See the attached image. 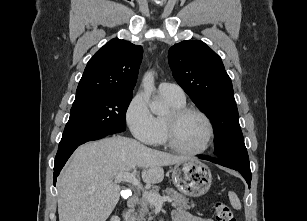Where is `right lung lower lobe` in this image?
I'll use <instances>...</instances> for the list:
<instances>
[{"label": "right lung lower lobe", "instance_id": "1", "mask_svg": "<svg viewBox=\"0 0 307 221\" xmlns=\"http://www.w3.org/2000/svg\"><path fill=\"white\" fill-rule=\"evenodd\" d=\"M107 136V135H105ZM105 136H100V137H93V138H89V139H85L83 141H80L78 143L72 144L70 146H67L65 148L62 149H58V152L55 156V163H54V180L53 183L54 185L56 184V180H57V176L59 175L61 169L63 168V166L65 165L66 161L68 160V158L71 156V154L74 152V150L81 144H84L88 141H93V140H98L101 139Z\"/></svg>", "mask_w": 307, "mask_h": 221}]
</instances>
